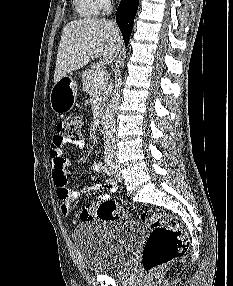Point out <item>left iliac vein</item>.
<instances>
[{
    "instance_id": "1",
    "label": "left iliac vein",
    "mask_w": 233,
    "mask_h": 286,
    "mask_svg": "<svg viewBox=\"0 0 233 286\" xmlns=\"http://www.w3.org/2000/svg\"><path fill=\"white\" fill-rule=\"evenodd\" d=\"M110 171L112 176L116 181L122 182L123 181V175L121 173V170L118 165L117 155L114 153L112 156V162L110 165Z\"/></svg>"
}]
</instances>
